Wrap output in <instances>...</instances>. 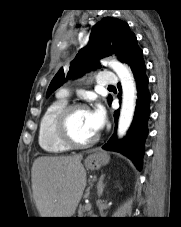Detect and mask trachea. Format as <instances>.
<instances>
[{"instance_id": "trachea-1", "label": "trachea", "mask_w": 181, "mask_h": 227, "mask_svg": "<svg viewBox=\"0 0 181 227\" xmlns=\"http://www.w3.org/2000/svg\"><path fill=\"white\" fill-rule=\"evenodd\" d=\"M108 88H114V86H108Z\"/></svg>"}]
</instances>
